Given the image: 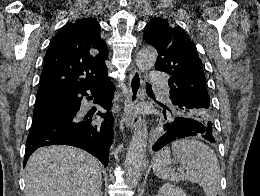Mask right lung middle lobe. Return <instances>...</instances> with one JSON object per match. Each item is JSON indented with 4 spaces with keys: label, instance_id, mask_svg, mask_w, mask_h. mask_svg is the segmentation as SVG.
I'll return each mask as SVG.
<instances>
[{
    "label": "right lung middle lobe",
    "instance_id": "right-lung-middle-lobe-1",
    "mask_svg": "<svg viewBox=\"0 0 260 196\" xmlns=\"http://www.w3.org/2000/svg\"><path fill=\"white\" fill-rule=\"evenodd\" d=\"M64 117H66V116H64L62 114H57V113H53V112L44 111L39 108H34L33 122H32L31 128L39 126L44 123L54 121V120H58V119H61Z\"/></svg>",
    "mask_w": 260,
    "mask_h": 196
}]
</instances>
